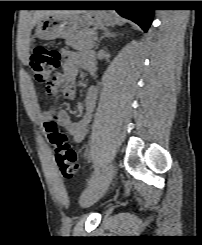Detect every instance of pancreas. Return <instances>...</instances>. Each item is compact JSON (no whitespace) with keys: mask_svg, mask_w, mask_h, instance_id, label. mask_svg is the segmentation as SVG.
Wrapping results in <instances>:
<instances>
[{"mask_svg":"<svg viewBox=\"0 0 202 245\" xmlns=\"http://www.w3.org/2000/svg\"><path fill=\"white\" fill-rule=\"evenodd\" d=\"M95 31L92 29H82L71 38L66 40V44L76 50H86L94 46Z\"/></svg>","mask_w":202,"mask_h":245,"instance_id":"obj_1","label":"pancreas"}]
</instances>
